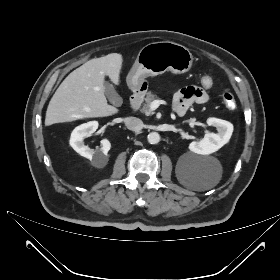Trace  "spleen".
Returning <instances> with one entry per match:
<instances>
[{
	"instance_id": "obj_1",
	"label": "spleen",
	"mask_w": 280,
	"mask_h": 280,
	"mask_svg": "<svg viewBox=\"0 0 280 280\" xmlns=\"http://www.w3.org/2000/svg\"><path fill=\"white\" fill-rule=\"evenodd\" d=\"M217 183H218V181H214V182L207 183V184L204 186V189H210V188L214 187Z\"/></svg>"
}]
</instances>
